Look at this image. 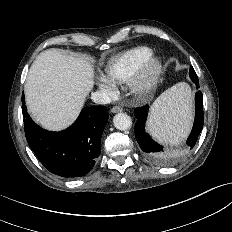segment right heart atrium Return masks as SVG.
Wrapping results in <instances>:
<instances>
[{
    "label": "right heart atrium",
    "instance_id": "d8ad5b80",
    "mask_svg": "<svg viewBox=\"0 0 232 232\" xmlns=\"http://www.w3.org/2000/svg\"><path fill=\"white\" fill-rule=\"evenodd\" d=\"M100 88L109 96H112L116 92L114 83L105 76H100L98 79Z\"/></svg>",
    "mask_w": 232,
    "mask_h": 232
}]
</instances>
